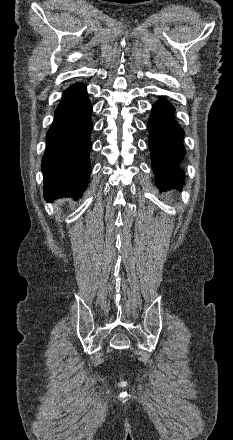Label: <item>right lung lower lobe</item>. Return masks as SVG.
Instances as JSON below:
<instances>
[{"mask_svg": "<svg viewBox=\"0 0 233 440\" xmlns=\"http://www.w3.org/2000/svg\"><path fill=\"white\" fill-rule=\"evenodd\" d=\"M91 112L92 106L83 84H73L64 92L47 132L42 159L47 201L70 194L81 197L87 187L91 172Z\"/></svg>", "mask_w": 233, "mask_h": 440, "instance_id": "98d812e1", "label": "right lung lower lobe"}]
</instances>
